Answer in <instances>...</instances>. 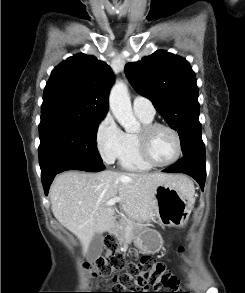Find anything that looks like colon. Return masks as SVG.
<instances>
[{"label":"colon","instance_id":"1","mask_svg":"<svg viewBox=\"0 0 245 293\" xmlns=\"http://www.w3.org/2000/svg\"><path fill=\"white\" fill-rule=\"evenodd\" d=\"M105 251L92 264L88 265L90 276H101L111 280L112 292L92 293H174L155 292L154 288L163 286L177 293H191L178 288L175 276L169 273L164 263L154 257L143 256L137 262L126 263L124 256L117 250L116 239H104Z\"/></svg>","mask_w":245,"mask_h":293}]
</instances>
